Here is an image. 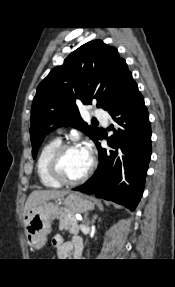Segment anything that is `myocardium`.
<instances>
[{
  "mask_svg": "<svg viewBox=\"0 0 175 287\" xmlns=\"http://www.w3.org/2000/svg\"><path fill=\"white\" fill-rule=\"evenodd\" d=\"M73 148H79V146L76 143L73 142H65L61 143L52 153L50 160H49V173L52 178H54L56 181H58L61 184L65 185H76L84 182L93 172L95 167L94 159L91 158V163L89 168L86 170L84 174H82L80 177L76 179H70L67 178L61 169V159L64 153Z\"/></svg>",
  "mask_w": 175,
  "mask_h": 287,
  "instance_id": "1",
  "label": "myocardium"
}]
</instances>
